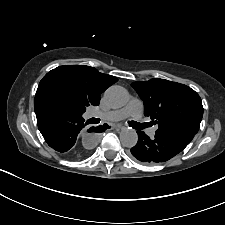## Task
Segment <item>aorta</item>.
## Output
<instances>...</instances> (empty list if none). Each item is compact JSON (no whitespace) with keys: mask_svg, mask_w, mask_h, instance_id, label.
<instances>
[{"mask_svg":"<svg viewBox=\"0 0 225 225\" xmlns=\"http://www.w3.org/2000/svg\"><path fill=\"white\" fill-rule=\"evenodd\" d=\"M105 98L111 107L118 108L127 104L129 95L126 89L115 85L106 90ZM120 141L123 146L130 148L136 145L138 135L134 129L124 128L120 132Z\"/></svg>","mask_w":225,"mask_h":225,"instance_id":"1","label":"aorta"}]
</instances>
